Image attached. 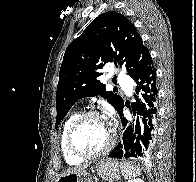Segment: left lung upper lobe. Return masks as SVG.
Here are the masks:
<instances>
[{"label": "left lung upper lobe", "mask_w": 196, "mask_h": 182, "mask_svg": "<svg viewBox=\"0 0 196 182\" xmlns=\"http://www.w3.org/2000/svg\"><path fill=\"white\" fill-rule=\"evenodd\" d=\"M151 55L128 18L109 11L95 18L66 49L56 93V128L79 99L100 95L119 111L122 98L97 80L105 64L124 67L133 77ZM115 79V78H114ZM113 79V81H114Z\"/></svg>", "instance_id": "5c2ea615"}]
</instances>
